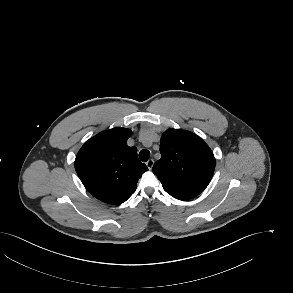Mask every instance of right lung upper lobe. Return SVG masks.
<instances>
[{"label": "right lung upper lobe", "instance_id": "cb5924a9", "mask_svg": "<svg viewBox=\"0 0 293 293\" xmlns=\"http://www.w3.org/2000/svg\"><path fill=\"white\" fill-rule=\"evenodd\" d=\"M131 130L117 127L89 139L78 152L75 169L85 188L108 204L125 202L148 170L137 157L136 147L126 142Z\"/></svg>", "mask_w": 293, "mask_h": 293}]
</instances>
